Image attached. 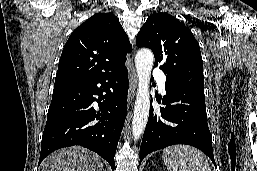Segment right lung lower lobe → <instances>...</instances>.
<instances>
[{
  "label": "right lung lower lobe",
  "mask_w": 257,
  "mask_h": 171,
  "mask_svg": "<svg viewBox=\"0 0 257 171\" xmlns=\"http://www.w3.org/2000/svg\"><path fill=\"white\" fill-rule=\"evenodd\" d=\"M127 94L128 74L124 64L88 79L55 84L38 165L59 148L81 145L106 159L114 170Z\"/></svg>",
  "instance_id": "1"
}]
</instances>
